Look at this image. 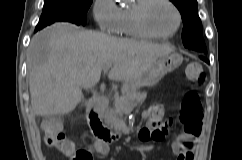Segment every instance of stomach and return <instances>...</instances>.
Instances as JSON below:
<instances>
[{
    "mask_svg": "<svg viewBox=\"0 0 242 160\" xmlns=\"http://www.w3.org/2000/svg\"><path fill=\"white\" fill-rule=\"evenodd\" d=\"M183 57L180 54L172 53L155 61L141 76L134 81L123 83L124 93L137 91L142 87L155 86L168 72L173 71L181 65Z\"/></svg>",
    "mask_w": 242,
    "mask_h": 160,
    "instance_id": "0dacf381",
    "label": "stomach"
}]
</instances>
